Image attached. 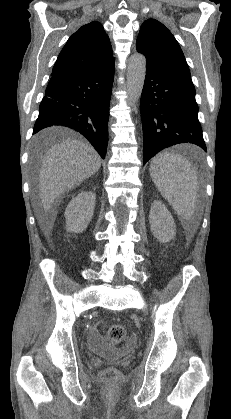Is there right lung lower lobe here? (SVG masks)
<instances>
[{"label": "right lung lower lobe", "instance_id": "obj_1", "mask_svg": "<svg viewBox=\"0 0 231 419\" xmlns=\"http://www.w3.org/2000/svg\"><path fill=\"white\" fill-rule=\"evenodd\" d=\"M113 78L114 63L92 72L52 75L33 134L54 125L73 128L104 158Z\"/></svg>", "mask_w": 231, "mask_h": 419}]
</instances>
